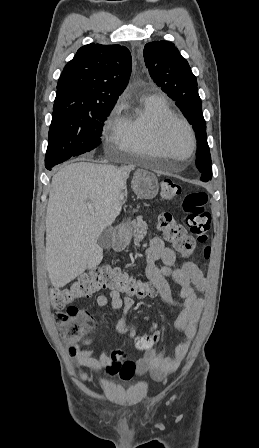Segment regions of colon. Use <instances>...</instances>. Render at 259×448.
<instances>
[{"instance_id":"obj_1","label":"colon","mask_w":259,"mask_h":448,"mask_svg":"<svg viewBox=\"0 0 259 448\" xmlns=\"http://www.w3.org/2000/svg\"><path fill=\"white\" fill-rule=\"evenodd\" d=\"M181 193L182 188L175 180L171 178L161 180L162 199L174 200ZM207 201L208 196L203 191L190 192L184 196L182 208L186 215V226L176 222L170 213H161L158 216V228L183 256L188 257L193 253L195 242L205 245L208 241L211 216L207 209ZM209 256L210 248L204 246L201 257L208 259ZM102 290L109 291L112 295L136 298H145L157 293L151 283L133 278L111 267L93 269L82 274L68 286L51 288L50 303L54 310V318L67 344H76L93 327L91 316L72 304ZM159 338V332H151L138 336L135 344L139 350H149Z\"/></svg>"}]
</instances>
